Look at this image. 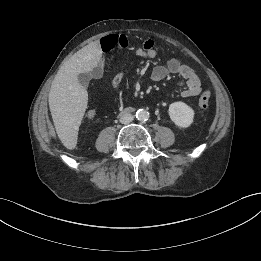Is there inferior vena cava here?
Returning a JSON list of instances; mask_svg holds the SVG:
<instances>
[{
	"mask_svg": "<svg viewBox=\"0 0 261 261\" xmlns=\"http://www.w3.org/2000/svg\"><path fill=\"white\" fill-rule=\"evenodd\" d=\"M134 119V116L131 113H123L120 116V122L122 124H128L130 122H132Z\"/></svg>",
	"mask_w": 261,
	"mask_h": 261,
	"instance_id": "obj_1",
	"label": "inferior vena cava"
}]
</instances>
